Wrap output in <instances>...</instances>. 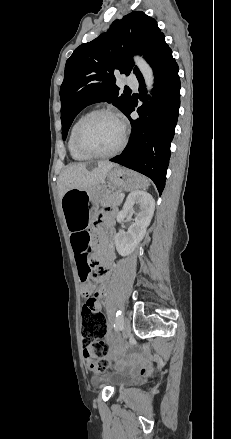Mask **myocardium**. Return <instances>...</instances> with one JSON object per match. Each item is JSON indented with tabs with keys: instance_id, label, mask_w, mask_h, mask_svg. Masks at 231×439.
Instances as JSON below:
<instances>
[{
	"instance_id": "obj_1",
	"label": "myocardium",
	"mask_w": 231,
	"mask_h": 439,
	"mask_svg": "<svg viewBox=\"0 0 231 439\" xmlns=\"http://www.w3.org/2000/svg\"><path fill=\"white\" fill-rule=\"evenodd\" d=\"M101 116H107V117H111L113 119H115L122 127V137H121V141L120 143L117 145L116 148H114L113 150H111L110 152L107 153H95L90 151L89 149H87L81 140V135L83 130L85 129V127L94 119L101 117ZM127 143V127L126 125L122 122V120L120 119V117L112 110L109 109H99V110H95L90 112L87 116H85L77 125L75 132H74V145L76 147V149L82 153L83 155H85L87 158H92V159H106V158H111L114 157L115 155H117L118 153H120L124 147L126 146Z\"/></svg>"
}]
</instances>
